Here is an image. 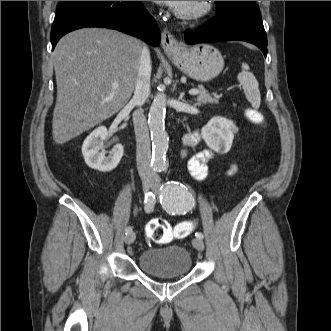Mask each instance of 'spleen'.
Segmentation results:
<instances>
[{
	"mask_svg": "<svg viewBox=\"0 0 331 331\" xmlns=\"http://www.w3.org/2000/svg\"><path fill=\"white\" fill-rule=\"evenodd\" d=\"M249 66L242 63V71L238 74V81L243 87L244 94L252 107L258 109L261 102L259 84L255 76L249 72Z\"/></svg>",
	"mask_w": 331,
	"mask_h": 331,
	"instance_id": "obj_1",
	"label": "spleen"
}]
</instances>
